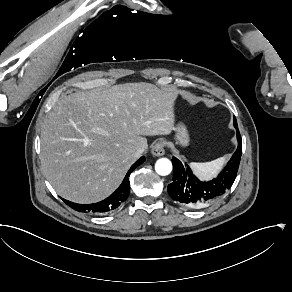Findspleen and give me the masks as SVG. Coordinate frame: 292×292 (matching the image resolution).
<instances>
[{"instance_id":"obj_1","label":"spleen","mask_w":292,"mask_h":292,"mask_svg":"<svg viewBox=\"0 0 292 292\" xmlns=\"http://www.w3.org/2000/svg\"><path fill=\"white\" fill-rule=\"evenodd\" d=\"M224 159L225 157L216 158L205 162H193L191 163V166L200 177H209L216 174L220 170Z\"/></svg>"}]
</instances>
